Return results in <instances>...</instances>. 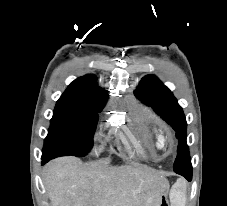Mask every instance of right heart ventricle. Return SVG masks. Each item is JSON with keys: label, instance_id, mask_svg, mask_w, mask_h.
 Here are the masks:
<instances>
[{"label": "right heart ventricle", "instance_id": "1", "mask_svg": "<svg viewBox=\"0 0 227 206\" xmlns=\"http://www.w3.org/2000/svg\"><path fill=\"white\" fill-rule=\"evenodd\" d=\"M137 118L141 121H145L144 117L141 116V115H138ZM146 124L148 125V128H149L151 134L154 137L156 147L160 149L162 147V144H163L162 131L160 130L159 127H157L154 124H151L149 122H146Z\"/></svg>", "mask_w": 227, "mask_h": 206}]
</instances>
